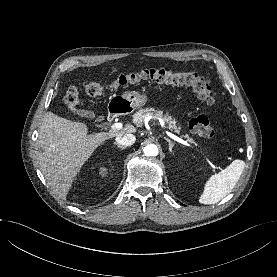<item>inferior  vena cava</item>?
<instances>
[{"mask_svg": "<svg viewBox=\"0 0 277 277\" xmlns=\"http://www.w3.org/2000/svg\"><path fill=\"white\" fill-rule=\"evenodd\" d=\"M136 138L133 134H125L116 137V142L122 146H131L135 143Z\"/></svg>", "mask_w": 277, "mask_h": 277, "instance_id": "inferior-vena-cava-1", "label": "inferior vena cava"}]
</instances>
